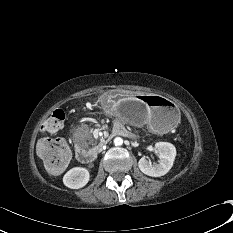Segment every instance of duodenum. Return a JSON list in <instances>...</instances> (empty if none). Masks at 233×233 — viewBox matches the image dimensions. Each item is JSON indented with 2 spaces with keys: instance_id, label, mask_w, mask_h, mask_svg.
<instances>
[{
  "instance_id": "obj_1",
  "label": "duodenum",
  "mask_w": 233,
  "mask_h": 233,
  "mask_svg": "<svg viewBox=\"0 0 233 233\" xmlns=\"http://www.w3.org/2000/svg\"><path fill=\"white\" fill-rule=\"evenodd\" d=\"M112 134L114 136L115 135L128 136L129 132L125 128H123L122 126L115 125L113 128ZM96 154H97L96 151L86 150L85 148H83L81 146H78L76 148L77 159L83 163L92 162L96 158Z\"/></svg>"
}]
</instances>
